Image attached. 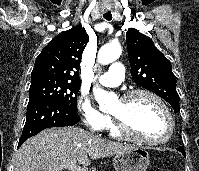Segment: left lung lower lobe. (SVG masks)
Listing matches in <instances>:
<instances>
[{"mask_svg": "<svg viewBox=\"0 0 199 171\" xmlns=\"http://www.w3.org/2000/svg\"><path fill=\"white\" fill-rule=\"evenodd\" d=\"M177 150H179L183 155H185V151L182 147H179Z\"/></svg>", "mask_w": 199, "mask_h": 171, "instance_id": "obj_1", "label": "left lung lower lobe"}]
</instances>
